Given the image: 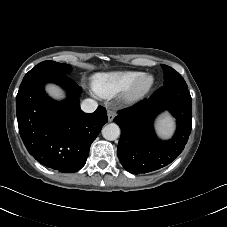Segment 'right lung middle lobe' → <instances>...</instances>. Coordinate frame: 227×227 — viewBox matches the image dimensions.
Masks as SVG:
<instances>
[{
  "mask_svg": "<svg viewBox=\"0 0 227 227\" xmlns=\"http://www.w3.org/2000/svg\"><path fill=\"white\" fill-rule=\"evenodd\" d=\"M70 68L71 66L68 64L57 63L55 61H43L31 69L25 77L40 73L65 74Z\"/></svg>",
  "mask_w": 227,
  "mask_h": 227,
  "instance_id": "dd1d6c3e",
  "label": "right lung middle lobe"
}]
</instances>
